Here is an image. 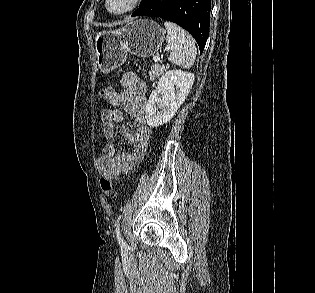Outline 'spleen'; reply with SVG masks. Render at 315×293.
<instances>
[{
    "instance_id": "1",
    "label": "spleen",
    "mask_w": 315,
    "mask_h": 293,
    "mask_svg": "<svg viewBox=\"0 0 315 293\" xmlns=\"http://www.w3.org/2000/svg\"><path fill=\"white\" fill-rule=\"evenodd\" d=\"M166 43L170 49L168 59L175 65L189 69L196 59V46L193 38L175 23L165 21Z\"/></svg>"
}]
</instances>
